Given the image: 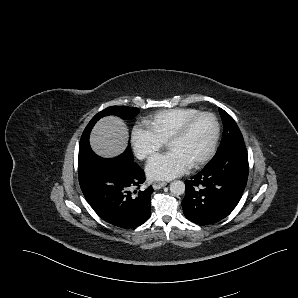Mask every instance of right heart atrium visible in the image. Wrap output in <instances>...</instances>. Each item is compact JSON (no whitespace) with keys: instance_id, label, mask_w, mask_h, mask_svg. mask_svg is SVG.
I'll return each instance as SVG.
<instances>
[{"instance_id":"d8ad5b80","label":"right heart atrium","mask_w":298,"mask_h":298,"mask_svg":"<svg viewBox=\"0 0 298 298\" xmlns=\"http://www.w3.org/2000/svg\"><path fill=\"white\" fill-rule=\"evenodd\" d=\"M131 142L135 154L141 159L150 157L164 145L151 130L140 125L131 128Z\"/></svg>"}]
</instances>
